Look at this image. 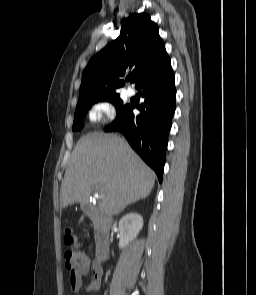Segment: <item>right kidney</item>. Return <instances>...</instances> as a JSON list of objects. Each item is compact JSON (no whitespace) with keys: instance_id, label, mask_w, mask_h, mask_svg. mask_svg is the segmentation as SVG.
<instances>
[{"instance_id":"right-kidney-1","label":"right kidney","mask_w":256,"mask_h":295,"mask_svg":"<svg viewBox=\"0 0 256 295\" xmlns=\"http://www.w3.org/2000/svg\"><path fill=\"white\" fill-rule=\"evenodd\" d=\"M143 227V218L138 213H129L119 221L120 241L119 248H124L134 240Z\"/></svg>"}]
</instances>
